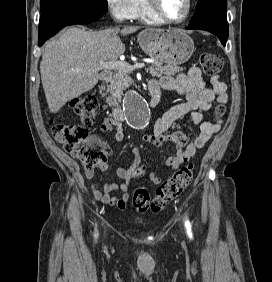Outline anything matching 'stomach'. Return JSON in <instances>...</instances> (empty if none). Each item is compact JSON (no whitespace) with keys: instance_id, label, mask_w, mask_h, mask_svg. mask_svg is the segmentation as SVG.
Returning <instances> with one entry per match:
<instances>
[{"instance_id":"stomach-1","label":"stomach","mask_w":272,"mask_h":282,"mask_svg":"<svg viewBox=\"0 0 272 282\" xmlns=\"http://www.w3.org/2000/svg\"><path fill=\"white\" fill-rule=\"evenodd\" d=\"M137 39L143 51L160 63L179 65L194 52L192 38L180 29L148 28Z\"/></svg>"}]
</instances>
